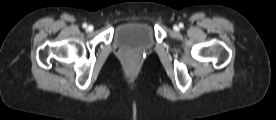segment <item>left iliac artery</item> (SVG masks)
Masks as SVG:
<instances>
[{"label":"left iliac artery","mask_w":276,"mask_h":120,"mask_svg":"<svg viewBox=\"0 0 276 120\" xmlns=\"http://www.w3.org/2000/svg\"><path fill=\"white\" fill-rule=\"evenodd\" d=\"M179 27H180V28H183V27H184L183 23H180V24H179Z\"/></svg>","instance_id":"left-iliac-artery-1"}]
</instances>
